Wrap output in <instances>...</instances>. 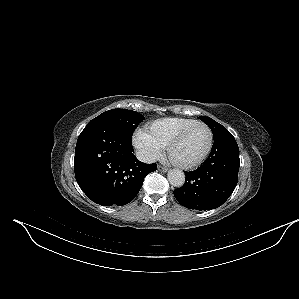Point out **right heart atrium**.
Wrapping results in <instances>:
<instances>
[{
  "label": "right heart atrium",
  "mask_w": 299,
  "mask_h": 299,
  "mask_svg": "<svg viewBox=\"0 0 299 299\" xmlns=\"http://www.w3.org/2000/svg\"><path fill=\"white\" fill-rule=\"evenodd\" d=\"M132 143L145 161H152L159 157L163 149V147L143 129L134 133Z\"/></svg>",
  "instance_id": "obj_1"
}]
</instances>
